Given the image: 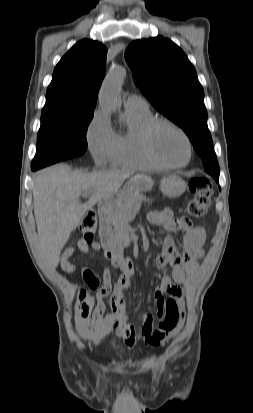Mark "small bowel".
I'll use <instances>...</instances> for the list:
<instances>
[{
  "label": "small bowel",
  "mask_w": 253,
  "mask_h": 413,
  "mask_svg": "<svg viewBox=\"0 0 253 413\" xmlns=\"http://www.w3.org/2000/svg\"><path fill=\"white\" fill-rule=\"evenodd\" d=\"M148 220L153 225L181 235V240L178 244L172 237H165L162 251L156 258V266L158 268L169 266L171 269L170 274L162 276L160 283L154 291V299L159 313H161L164 308V296L168 294L174 297H181L183 293L181 286L197 270V259L203 255L206 232L201 226H192L190 221L185 218H175L173 211L169 208L149 212ZM77 249L83 253H88L90 249L100 251L101 244L99 242L86 243L81 240L78 243ZM75 250V248L68 249L61 256V267L67 273H72L76 269L75 264L70 261ZM105 255L111 261L112 266L119 271L118 280L112 287L109 268H104L101 283L92 270L88 268L83 270L84 281L88 286H96L98 288V295L97 304L91 317L79 315L74 317V324L78 334L83 340L94 346L102 345L113 333L122 337L130 349L134 348L140 341L154 346L161 344L163 341L159 342L154 337L151 315L143 317L139 331H136L134 325L128 321L123 297L131 286V276L133 274L131 262L111 257L107 253ZM111 290V312L105 314V306L102 299Z\"/></svg>",
  "instance_id": "small-bowel-1"
}]
</instances>
